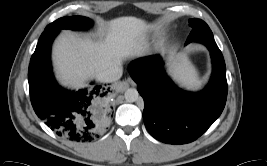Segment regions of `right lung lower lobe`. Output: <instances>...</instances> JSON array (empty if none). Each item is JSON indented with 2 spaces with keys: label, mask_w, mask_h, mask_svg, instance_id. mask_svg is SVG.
<instances>
[{
  "label": "right lung lower lobe",
  "mask_w": 267,
  "mask_h": 166,
  "mask_svg": "<svg viewBox=\"0 0 267 166\" xmlns=\"http://www.w3.org/2000/svg\"><path fill=\"white\" fill-rule=\"evenodd\" d=\"M59 32L44 30L31 57L28 71L31 103L37 116L58 136L73 142H90L105 129L112 116L107 102L110 90L96 85L68 91L57 84L50 51Z\"/></svg>",
  "instance_id": "98d812e1"
}]
</instances>
